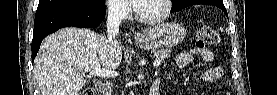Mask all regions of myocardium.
<instances>
[{"label": "myocardium", "instance_id": "obj_1", "mask_svg": "<svg viewBox=\"0 0 277 95\" xmlns=\"http://www.w3.org/2000/svg\"><path fill=\"white\" fill-rule=\"evenodd\" d=\"M162 1L164 3V11L161 15L156 16V17H143L139 14L137 6L133 5L132 11H133L134 17L138 21L145 23V24H150V25H154V24H158V23L162 22L169 16L171 9H172V1L171 0H162Z\"/></svg>", "mask_w": 277, "mask_h": 95}]
</instances>
